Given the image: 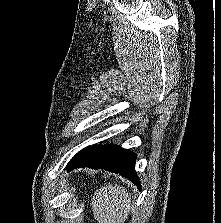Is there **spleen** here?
<instances>
[{
  "instance_id": "spleen-1",
  "label": "spleen",
  "mask_w": 221,
  "mask_h": 223,
  "mask_svg": "<svg viewBox=\"0 0 221 223\" xmlns=\"http://www.w3.org/2000/svg\"><path fill=\"white\" fill-rule=\"evenodd\" d=\"M91 206L98 223H123L132 207L129 194L118 184H108L96 190Z\"/></svg>"
}]
</instances>
